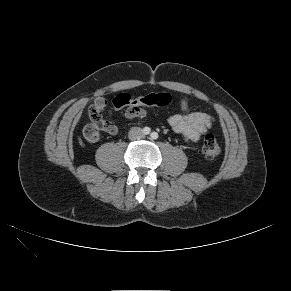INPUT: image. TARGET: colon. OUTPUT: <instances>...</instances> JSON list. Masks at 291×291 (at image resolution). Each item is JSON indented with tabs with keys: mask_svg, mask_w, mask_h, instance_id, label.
<instances>
[{
	"mask_svg": "<svg viewBox=\"0 0 291 291\" xmlns=\"http://www.w3.org/2000/svg\"><path fill=\"white\" fill-rule=\"evenodd\" d=\"M171 101V97L166 93H136L118 92L113 99L111 106L118 111H123L129 104L148 105L153 107L166 108ZM90 122L83 128V135L89 142H96L101 132L114 134L115 125L106 120L102 114L97 112L93 107L89 110ZM221 151V147L217 139L213 135H207L202 143V154L207 159L216 158Z\"/></svg>",
	"mask_w": 291,
	"mask_h": 291,
	"instance_id": "obj_1",
	"label": "colon"
}]
</instances>
